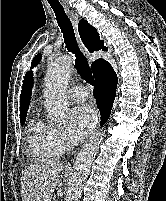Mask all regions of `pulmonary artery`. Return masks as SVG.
Returning <instances> with one entry per match:
<instances>
[{
    "mask_svg": "<svg viewBox=\"0 0 166 201\" xmlns=\"http://www.w3.org/2000/svg\"><path fill=\"white\" fill-rule=\"evenodd\" d=\"M69 98L74 102H83L88 96V92L83 86H74L69 90Z\"/></svg>",
    "mask_w": 166,
    "mask_h": 201,
    "instance_id": "pulmonary-artery-1",
    "label": "pulmonary artery"
}]
</instances>
